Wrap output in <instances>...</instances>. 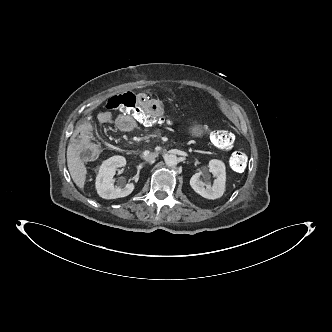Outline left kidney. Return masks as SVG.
Segmentation results:
<instances>
[{"label":"left kidney","mask_w":332,"mask_h":332,"mask_svg":"<svg viewBox=\"0 0 332 332\" xmlns=\"http://www.w3.org/2000/svg\"><path fill=\"white\" fill-rule=\"evenodd\" d=\"M209 172L216 178L213 185L205 184L201 179L202 172L194 174L190 179V185L195 192L207 199L220 198L225 191L226 168L220 160H211L209 162ZM206 186V187H205Z\"/></svg>","instance_id":"obj_1"}]
</instances>
